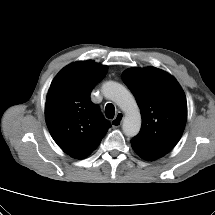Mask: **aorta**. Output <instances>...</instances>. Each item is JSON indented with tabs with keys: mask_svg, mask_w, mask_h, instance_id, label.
I'll return each mask as SVG.
<instances>
[{
	"mask_svg": "<svg viewBox=\"0 0 215 215\" xmlns=\"http://www.w3.org/2000/svg\"><path fill=\"white\" fill-rule=\"evenodd\" d=\"M102 92L125 113L122 125L124 134L130 137L137 135L141 128V114L134 96L123 85L114 81L105 82Z\"/></svg>",
	"mask_w": 215,
	"mask_h": 215,
	"instance_id": "obj_1",
	"label": "aorta"
}]
</instances>
